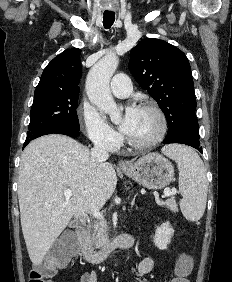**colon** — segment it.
Wrapping results in <instances>:
<instances>
[{
  "label": "colon",
  "instance_id": "colon-1",
  "mask_svg": "<svg viewBox=\"0 0 232 282\" xmlns=\"http://www.w3.org/2000/svg\"><path fill=\"white\" fill-rule=\"evenodd\" d=\"M75 251V243L64 240L53 246L45 259L37 263L30 272L29 282H52L56 270L67 265ZM191 261L187 255H182L177 263L176 276L171 282H189Z\"/></svg>",
  "mask_w": 232,
  "mask_h": 282
}]
</instances>
